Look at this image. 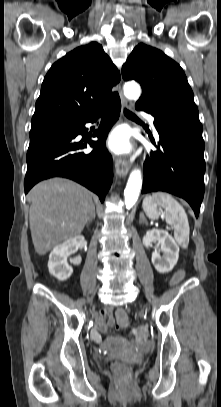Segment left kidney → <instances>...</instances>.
I'll list each match as a JSON object with an SVG mask.
<instances>
[{"mask_svg": "<svg viewBox=\"0 0 221 407\" xmlns=\"http://www.w3.org/2000/svg\"><path fill=\"white\" fill-rule=\"evenodd\" d=\"M157 241L163 252L161 257L159 251L152 253V263L160 273L170 272L176 265L179 258V246L173 237L165 230L152 229L146 232L143 237V244L146 248L152 247V242Z\"/></svg>", "mask_w": 221, "mask_h": 407, "instance_id": "obj_1", "label": "left kidney"}]
</instances>
